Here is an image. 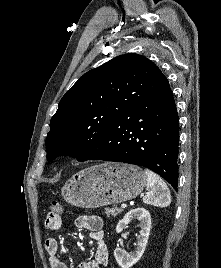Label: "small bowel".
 Segmentation results:
<instances>
[{
	"label": "small bowel",
	"instance_id": "c3829d8e",
	"mask_svg": "<svg viewBox=\"0 0 221 268\" xmlns=\"http://www.w3.org/2000/svg\"><path fill=\"white\" fill-rule=\"evenodd\" d=\"M77 228L89 231L90 237L97 242L94 258L81 262L78 268H105L108 264V249L104 241L103 221L96 215H83L75 220ZM63 227L59 215L49 213L45 220V228L50 232H57ZM45 249L49 256L51 268H68L59 258L60 245L55 238H48L45 242Z\"/></svg>",
	"mask_w": 221,
	"mask_h": 268
}]
</instances>
